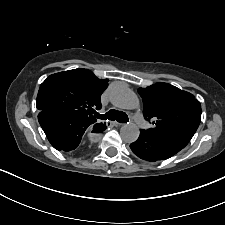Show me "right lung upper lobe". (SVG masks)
<instances>
[{
	"instance_id": "cb5924a9",
	"label": "right lung upper lobe",
	"mask_w": 225,
	"mask_h": 225,
	"mask_svg": "<svg viewBox=\"0 0 225 225\" xmlns=\"http://www.w3.org/2000/svg\"><path fill=\"white\" fill-rule=\"evenodd\" d=\"M107 83L108 79L83 68L52 74L40 86L37 109L74 116L104 129L106 125L97 124L94 115L102 107L101 94Z\"/></svg>"
}]
</instances>
